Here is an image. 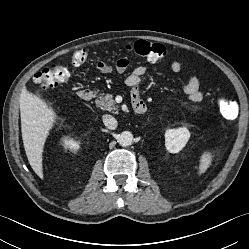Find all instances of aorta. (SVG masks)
<instances>
[{
	"mask_svg": "<svg viewBox=\"0 0 249 249\" xmlns=\"http://www.w3.org/2000/svg\"><path fill=\"white\" fill-rule=\"evenodd\" d=\"M133 142V134L129 131H123L118 136V143L123 146L127 147L130 146Z\"/></svg>",
	"mask_w": 249,
	"mask_h": 249,
	"instance_id": "aorta-1",
	"label": "aorta"
}]
</instances>
